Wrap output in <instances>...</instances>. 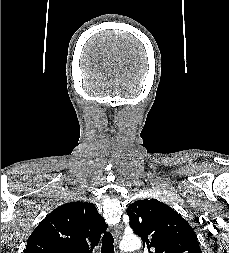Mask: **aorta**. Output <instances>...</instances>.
Returning <instances> with one entry per match:
<instances>
[{"label": "aorta", "mask_w": 229, "mask_h": 253, "mask_svg": "<svg viewBox=\"0 0 229 253\" xmlns=\"http://www.w3.org/2000/svg\"><path fill=\"white\" fill-rule=\"evenodd\" d=\"M141 247V241L137 237H131L129 239H125L120 244V249L125 252H130Z\"/></svg>", "instance_id": "aorta-1"}]
</instances>
